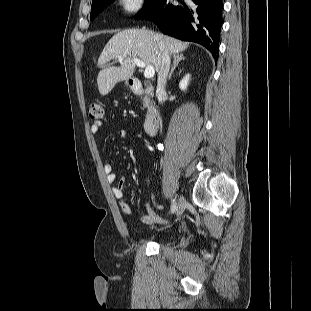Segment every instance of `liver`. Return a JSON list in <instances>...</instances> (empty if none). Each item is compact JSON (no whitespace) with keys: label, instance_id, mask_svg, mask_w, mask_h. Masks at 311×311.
I'll list each match as a JSON object with an SVG mask.
<instances>
[{"label":"liver","instance_id":"obj_1","mask_svg":"<svg viewBox=\"0 0 311 311\" xmlns=\"http://www.w3.org/2000/svg\"><path fill=\"white\" fill-rule=\"evenodd\" d=\"M160 41L169 55L174 57L189 46L186 42L146 29H127L115 34L98 59V66L102 68L97 77L100 94L107 95L116 83L133 76L136 68L133 58L152 65L158 72L161 63V50L158 44ZM119 56L124 57L120 66L108 64L111 60H117Z\"/></svg>","mask_w":311,"mask_h":311}]
</instances>
